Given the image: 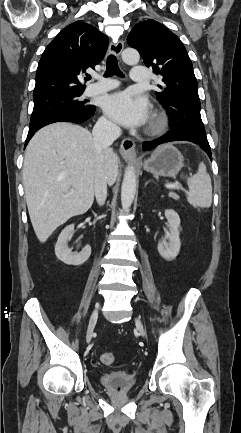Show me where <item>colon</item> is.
I'll return each instance as SVG.
<instances>
[{"instance_id":"1","label":"colon","mask_w":241,"mask_h":433,"mask_svg":"<svg viewBox=\"0 0 241 433\" xmlns=\"http://www.w3.org/2000/svg\"><path fill=\"white\" fill-rule=\"evenodd\" d=\"M114 360H115V356L111 352L104 353L101 356V362L106 365L112 364Z\"/></svg>"}]
</instances>
